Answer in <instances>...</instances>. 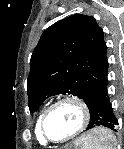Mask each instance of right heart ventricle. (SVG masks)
Wrapping results in <instances>:
<instances>
[{
    "label": "right heart ventricle",
    "instance_id": "right-heart-ventricle-1",
    "mask_svg": "<svg viewBox=\"0 0 124 149\" xmlns=\"http://www.w3.org/2000/svg\"><path fill=\"white\" fill-rule=\"evenodd\" d=\"M43 113H44V111H41L39 113V115L36 118V122H35V136H36V139L40 145L47 144V142L44 140V138L42 137L41 132H40V122H41Z\"/></svg>",
    "mask_w": 124,
    "mask_h": 149
}]
</instances>
